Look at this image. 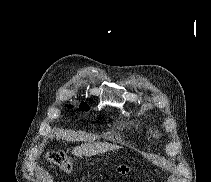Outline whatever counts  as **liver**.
I'll use <instances>...</instances> for the list:
<instances>
[{
	"mask_svg": "<svg viewBox=\"0 0 211 182\" xmlns=\"http://www.w3.org/2000/svg\"><path fill=\"white\" fill-rule=\"evenodd\" d=\"M118 148L119 147L117 145H112L109 143H102V142L85 143L73 148L72 154L75 156L84 155L86 157H91L99 153H104Z\"/></svg>",
	"mask_w": 211,
	"mask_h": 182,
	"instance_id": "6515ba94",
	"label": "liver"
}]
</instances>
